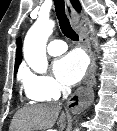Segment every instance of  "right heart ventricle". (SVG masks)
<instances>
[{"mask_svg": "<svg viewBox=\"0 0 117 131\" xmlns=\"http://www.w3.org/2000/svg\"><path fill=\"white\" fill-rule=\"evenodd\" d=\"M26 95H27L28 99L33 101V102H41V101H43L42 98H40L38 96H35V95H32V94H29L28 92H26Z\"/></svg>", "mask_w": 117, "mask_h": 131, "instance_id": "obj_1", "label": "right heart ventricle"}]
</instances>
